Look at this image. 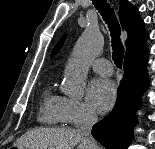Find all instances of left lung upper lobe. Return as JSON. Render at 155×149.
<instances>
[{
    "instance_id": "obj_1",
    "label": "left lung upper lobe",
    "mask_w": 155,
    "mask_h": 149,
    "mask_svg": "<svg viewBox=\"0 0 155 149\" xmlns=\"http://www.w3.org/2000/svg\"><path fill=\"white\" fill-rule=\"evenodd\" d=\"M64 40H65V37H63L59 40V42L57 43V45L53 49L51 56L55 55L60 50V48L62 47V45L64 43Z\"/></svg>"
}]
</instances>
